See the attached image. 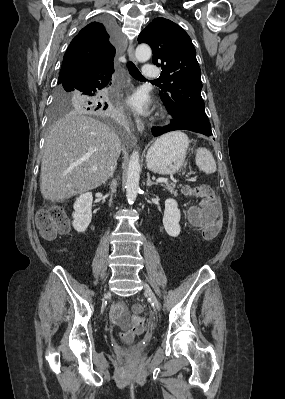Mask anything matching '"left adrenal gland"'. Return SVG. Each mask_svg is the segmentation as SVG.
I'll use <instances>...</instances> for the list:
<instances>
[{
  "mask_svg": "<svg viewBox=\"0 0 285 399\" xmlns=\"http://www.w3.org/2000/svg\"><path fill=\"white\" fill-rule=\"evenodd\" d=\"M146 185H147V187H150V186H152V185H156L155 182L151 181L149 172L147 173V182H146Z\"/></svg>",
  "mask_w": 285,
  "mask_h": 399,
  "instance_id": "1",
  "label": "left adrenal gland"
}]
</instances>
